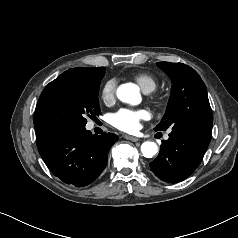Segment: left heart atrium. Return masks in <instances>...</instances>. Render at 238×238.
<instances>
[{"mask_svg":"<svg viewBox=\"0 0 238 238\" xmlns=\"http://www.w3.org/2000/svg\"><path fill=\"white\" fill-rule=\"evenodd\" d=\"M149 118L145 109H121L112 115V124L121 131L133 133L140 127V122Z\"/></svg>","mask_w":238,"mask_h":238,"instance_id":"obj_1","label":"left heart atrium"}]
</instances>
